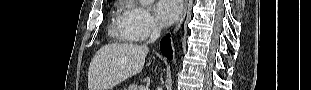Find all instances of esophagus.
Returning a JSON list of instances; mask_svg holds the SVG:
<instances>
[{
	"label": "esophagus",
	"instance_id": "34e87169",
	"mask_svg": "<svg viewBox=\"0 0 311 90\" xmlns=\"http://www.w3.org/2000/svg\"><path fill=\"white\" fill-rule=\"evenodd\" d=\"M187 9H188V0H185L184 4H183V8H182L180 18H179L177 24L175 25V27L173 29V34H176L179 31V29L181 28V26H182V24L186 18Z\"/></svg>",
	"mask_w": 311,
	"mask_h": 90
}]
</instances>
